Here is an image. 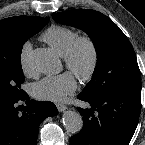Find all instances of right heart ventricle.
Masks as SVG:
<instances>
[{
    "instance_id": "obj_1",
    "label": "right heart ventricle",
    "mask_w": 145,
    "mask_h": 145,
    "mask_svg": "<svg viewBox=\"0 0 145 145\" xmlns=\"http://www.w3.org/2000/svg\"><path fill=\"white\" fill-rule=\"evenodd\" d=\"M77 37L75 30L62 25L50 26L41 36L44 42L63 57L68 54Z\"/></svg>"
}]
</instances>
